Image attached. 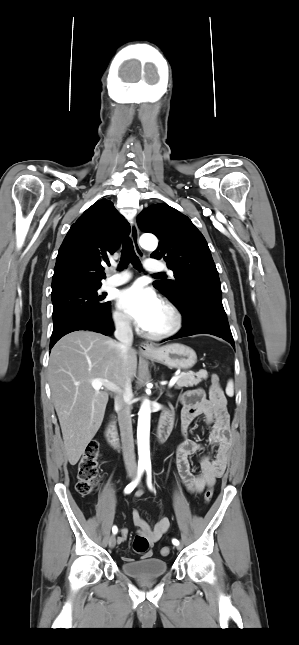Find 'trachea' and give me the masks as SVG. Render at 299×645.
<instances>
[{"mask_svg": "<svg viewBox=\"0 0 299 645\" xmlns=\"http://www.w3.org/2000/svg\"><path fill=\"white\" fill-rule=\"evenodd\" d=\"M129 263L138 270L142 269L139 258L134 251L132 241L129 238H126L123 241L119 268L124 269ZM156 275H161V273H157Z\"/></svg>", "mask_w": 299, "mask_h": 645, "instance_id": "obj_1", "label": "trachea"}]
</instances>
